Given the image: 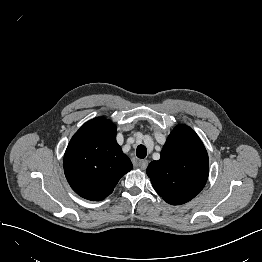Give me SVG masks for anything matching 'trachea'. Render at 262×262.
Segmentation results:
<instances>
[{"label":"trachea","mask_w":262,"mask_h":262,"mask_svg":"<svg viewBox=\"0 0 262 262\" xmlns=\"http://www.w3.org/2000/svg\"><path fill=\"white\" fill-rule=\"evenodd\" d=\"M136 155L138 158H145L147 155V149L144 145H139L136 149Z\"/></svg>","instance_id":"3493384b"}]
</instances>
